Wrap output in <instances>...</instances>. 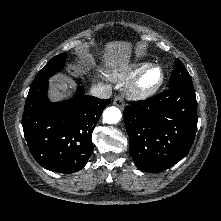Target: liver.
Listing matches in <instances>:
<instances>
[{
    "instance_id": "liver-1",
    "label": "liver",
    "mask_w": 221,
    "mask_h": 221,
    "mask_svg": "<svg viewBox=\"0 0 221 221\" xmlns=\"http://www.w3.org/2000/svg\"><path fill=\"white\" fill-rule=\"evenodd\" d=\"M132 45L124 41L108 42L104 46V50L100 53L106 66L122 70L129 66ZM50 93L54 99H65L71 96L73 82L64 75H57L51 81Z\"/></svg>"
}]
</instances>
